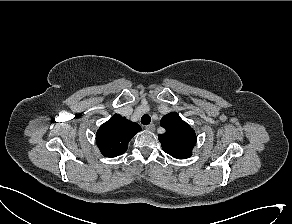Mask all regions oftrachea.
Masks as SVG:
<instances>
[{
    "label": "trachea",
    "instance_id": "obj_1",
    "mask_svg": "<svg viewBox=\"0 0 292 224\" xmlns=\"http://www.w3.org/2000/svg\"><path fill=\"white\" fill-rule=\"evenodd\" d=\"M150 122H151V117L149 115L145 114L141 117V123L143 125H148Z\"/></svg>",
    "mask_w": 292,
    "mask_h": 224
}]
</instances>
